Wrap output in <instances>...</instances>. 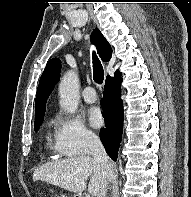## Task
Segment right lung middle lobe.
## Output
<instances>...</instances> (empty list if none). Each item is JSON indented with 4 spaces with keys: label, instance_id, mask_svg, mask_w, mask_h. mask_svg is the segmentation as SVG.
<instances>
[{
    "label": "right lung middle lobe",
    "instance_id": "1",
    "mask_svg": "<svg viewBox=\"0 0 191 197\" xmlns=\"http://www.w3.org/2000/svg\"><path fill=\"white\" fill-rule=\"evenodd\" d=\"M41 124H42V121L37 123V124H35V132H37L39 130Z\"/></svg>",
    "mask_w": 191,
    "mask_h": 197
}]
</instances>
